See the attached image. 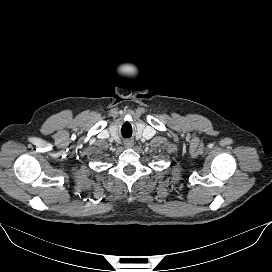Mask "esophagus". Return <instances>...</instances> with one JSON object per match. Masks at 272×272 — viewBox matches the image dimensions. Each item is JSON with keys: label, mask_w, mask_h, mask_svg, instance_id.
I'll use <instances>...</instances> for the list:
<instances>
[{"label": "esophagus", "mask_w": 272, "mask_h": 272, "mask_svg": "<svg viewBox=\"0 0 272 272\" xmlns=\"http://www.w3.org/2000/svg\"><path fill=\"white\" fill-rule=\"evenodd\" d=\"M125 146H126V147H131V146H132V143L127 142V143H125Z\"/></svg>", "instance_id": "esophagus-1"}]
</instances>
